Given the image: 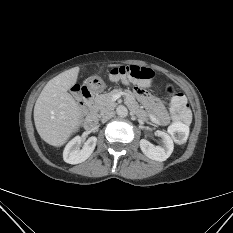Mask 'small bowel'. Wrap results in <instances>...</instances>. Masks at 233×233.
<instances>
[{"label": "small bowel", "instance_id": "obj_1", "mask_svg": "<svg viewBox=\"0 0 233 233\" xmlns=\"http://www.w3.org/2000/svg\"><path fill=\"white\" fill-rule=\"evenodd\" d=\"M135 92L139 100L149 109L151 120L159 125H164L168 120L165 107L156 98L149 95L143 87H137Z\"/></svg>", "mask_w": 233, "mask_h": 233}]
</instances>
